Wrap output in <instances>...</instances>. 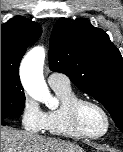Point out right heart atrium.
Segmentation results:
<instances>
[{
    "mask_svg": "<svg viewBox=\"0 0 123 152\" xmlns=\"http://www.w3.org/2000/svg\"><path fill=\"white\" fill-rule=\"evenodd\" d=\"M21 123L25 130L29 132H39L45 127V112L38 103L26 96L23 100L21 112Z\"/></svg>",
    "mask_w": 123,
    "mask_h": 152,
    "instance_id": "1",
    "label": "right heart atrium"
}]
</instances>
